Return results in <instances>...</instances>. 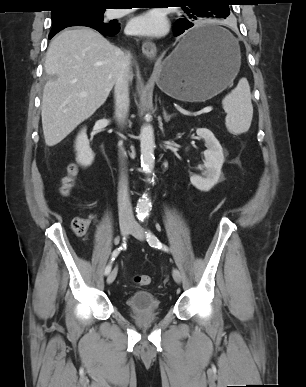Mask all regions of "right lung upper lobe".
<instances>
[{
  "label": "right lung upper lobe",
  "instance_id": "right-lung-upper-lobe-1",
  "mask_svg": "<svg viewBox=\"0 0 306 387\" xmlns=\"http://www.w3.org/2000/svg\"><path fill=\"white\" fill-rule=\"evenodd\" d=\"M57 1V9L52 12H57L62 8L73 7V6H94V7H102L109 5L110 0H56Z\"/></svg>",
  "mask_w": 306,
  "mask_h": 387
}]
</instances>
